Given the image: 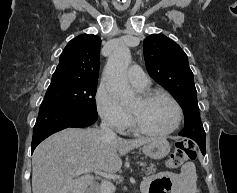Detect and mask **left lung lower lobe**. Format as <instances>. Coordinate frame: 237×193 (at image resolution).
I'll return each mask as SVG.
<instances>
[{
	"label": "left lung lower lobe",
	"mask_w": 237,
	"mask_h": 193,
	"mask_svg": "<svg viewBox=\"0 0 237 193\" xmlns=\"http://www.w3.org/2000/svg\"><path fill=\"white\" fill-rule=\"evenodd\" d=\"M199 147H200L202 154L204 155L206 152V145H199Z\"/></svg>",
	"instance_id": "1"
}]
</instances>
